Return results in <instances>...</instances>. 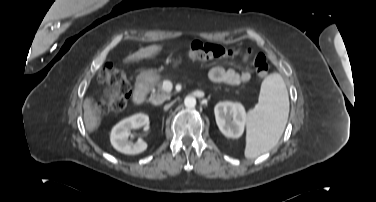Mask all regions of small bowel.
Here are the masks:
<instances>
[{
    "instance_id": "1",
    "label": "small bowel",
    "mask_w": 376,
    "mask_h": 202,
    "mask_svg": "<svg viewBox=\"0 0 376 202\" xmlns=\"http://www.w3.org/2000/svg\"><path fill=\"white\" fill-rule=\"evenodd\" d=\"M208 77L216 83H224L228 85H240L250 80L251 75L245 71L239 73L233 69H225L222 66H212L208 70Z\"/></svg>"
}]
</instances>
